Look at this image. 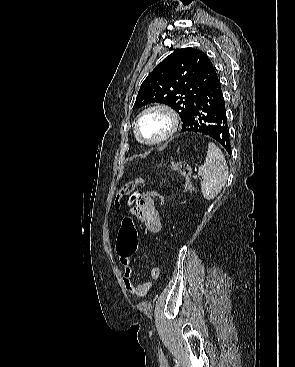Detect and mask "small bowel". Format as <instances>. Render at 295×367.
<instances>
[{
    "mask_svg": "<svg viewBox=\"0 0 295 367\" xmlns=\"http://www.w3.org/2000/svg\"><path fill=\"white\" fill-rule=\"evenodd\" d=\"M156 196H158L157 193H155L153 196H139L132 211V213L140 220L144 227L154 234H157L161 229L160 214L156 206V200L154 199ZM135 249L130 252H123L120 248L118 238L117 253L120 264L123 268L124 286L133 296L144 298L152 291L154 285L151 282L135 284L132 281L133 269L131 264V256ZM160 273L161 269L159 266H154L150 270V276L153 279H158Z\"/></svg>",
    "mask_w": 295,
    "mask_h": 367,
    "instance_id": "1",
    "label": "small bowel"
}]
</instances>
